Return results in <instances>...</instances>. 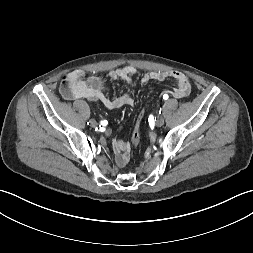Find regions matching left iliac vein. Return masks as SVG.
<instances>
[{"mask_svg": "<svg viewBox=\"0 0 253 253\" xmlns=\"http://www.w3.org/2000/svg\"><path fill=\"white\" fill-rule=\"evenodd\" d=\"M165 120L162 116H158L156 119H155V125L160 127L164 124Z\"/></svg>", "mask_w": 253, "mask_h": 253, "instance_id": "4c4485c4", "label": "left iliac vein"}]
</instances>
